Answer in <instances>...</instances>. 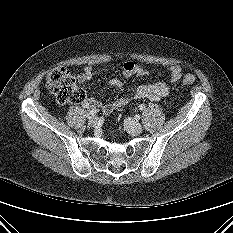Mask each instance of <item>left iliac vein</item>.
<instances>
[{"mask_svg":"<svg viewBox=\"0 0 233 233\" xmlns=\"http://www.w3.org/2000/svg\"><path fill=\"white\" fill-rule=\"evenodd\" d=\"M124 126L126 130L132 135H138L143 131L142 125L132 118H126L124 120Z\"/></svg>","mask_w":233,"mask_h":233,"instance_id":"obj_1","label":"left iliac vein"}]
</instances>
